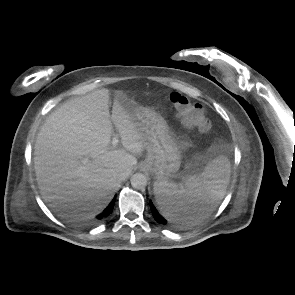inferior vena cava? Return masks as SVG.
Listing matches in <instances>:
<instances>
[{
    "mask_svg": "<svg viewBox=\"0 0 295 295\" xmlns=\"http://www.w3.org/2000/svg\"><path fill=\"white\" fill-rule=\"evenodd\" d=\"M126 177H127V174H126V173H121V174L119 175V179H120V180H125Z\"/></svg>",
    "mask_w": 295,
    "mask_h": 295,
    "instance_id": "inferior-vena-cava-1",
    "label": "inferior vena cava"
}]
</instances>
